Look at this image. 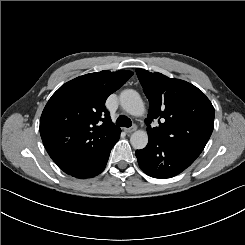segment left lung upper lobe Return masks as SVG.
<instances>
[{
	"label": "left lung upper lobe",
	"mask_w": 245,
	"mask_h": 245,
	"mask_svg": "<svg viewBox=\"0 0 245 245\" xmlns=\"http://www.w3.org/2000/svg\"><path fill=\"white\" fill-rule=\"evenodd\" d=\"M136 73L150 102L148 136L198 157L213 131L215 110L209 99L186 81L144 69ZM153 120L158 127L151 128Z\"/></svg>",
	"instance_id": "1"
}]
</instances>
